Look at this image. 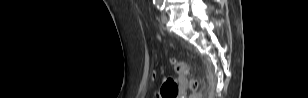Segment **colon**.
Segmentation results:
<instances>
[{
	"mask_svg": "<svg viewBox=\"0 0 308 98\" xmlns=\"http://www.w3.org/2000/svg\"><path fill=\"white\" fill-rule=\"evenodd\" d=\"M173 67L179 75L190 76L188 65L184 61L172 60ZM189 88L191 90L190 98H200L201 93L198 91V83L189 78ZM178 94V85L175 80L167 79L162 84L159 92L160 98H176Z\"/></svg>",
	"mask_w": 308,
	"mask_h": 98,
	"instance_id": "5ec220e1",
	"label": "colon"
}]
</instances>
